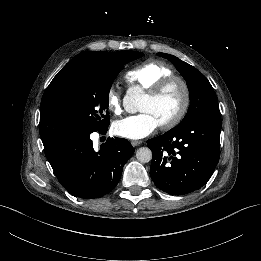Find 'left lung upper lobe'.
<instances>
[{
  "instance_id": "left-lung-upper-lobe-1",
  "label": "left lung upper lobe",
  "mask_w": 261,
  "mask_h": 261,
  "mask_svg": "<svg viewBox=\"0 0 261 261\" xmlns=\"http://www.w3.org/2000/svg\"><path fill=\"white\" fill-rule=\"evenodd\" d=\"M159 56L171 61L186 80L191 105L183 122L173 129H180L186 124L203 116L220 118L217 96L207 78L195 67L181 61L179 58L166 53Z\"/></svg>"
}]
</instances>
